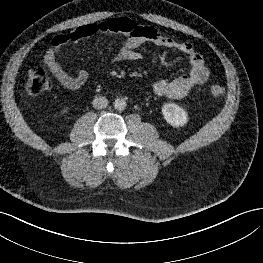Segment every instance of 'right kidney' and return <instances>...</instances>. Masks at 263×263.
<instances>
[{
	"label": "right kidney",
	"mask_w": 263,
	"mask_h": 263,
	"mask_svg": "<svg viewBox=\"0 0 263 263\" xmlns=\"http://www.w3.org/2000/svg\"><path fill=\"white\" fill-rule=\"evenodd\" d=\"M66 112H67V111H65V110L63 111V113H66Z\"/></svg>",
	"instance_id": "ca27d5eb"
}]
</instances>
